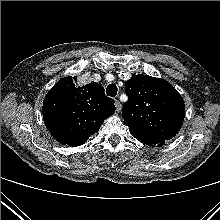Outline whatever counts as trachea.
I'll return each instance as SVG.
<instances>
[{
	"label": "trachea",
	"mask_w": 220,
	"mask_h": 220,
	"mask_svg": "<svg viewBox=\"0 0 220 220\" xmlns=\"http://www.w3.org/2000/svg\"><path fill=\"white\" fill-rule=\"evenodd\" d=\"M117 86L115 84H109L106 88V94L110 97H115L117 95Z\"/></svg>",
	"instance_id": "1"
}]
</instances>
